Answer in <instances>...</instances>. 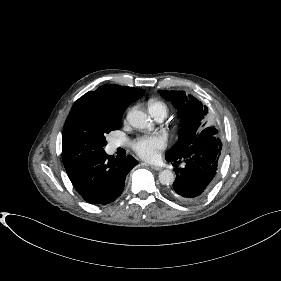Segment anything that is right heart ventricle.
<instances>
[{
  "mask_svg": "<svg viewBox=\"0 0 281 281\" xmlns=\"http://www.w3.org/2000/svg\"><path fill=\"white\" fill-rule=\"evenodd\" d=\"M148 110L150 112V114L154 117H166L168 112H169V108L167 106V104L159 99H150L148 101Z\"/></svg>",
  "mask_w": 281,
  "mask_h": 281,
  "instance_id": "1",
  "label": "right heart ventricle"
}]
</instances>
